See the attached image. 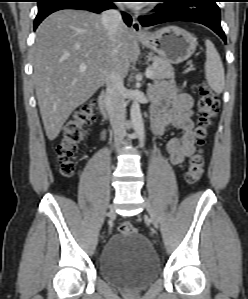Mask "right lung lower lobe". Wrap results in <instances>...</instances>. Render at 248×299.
I'll list each match as a JSON object with an SVG mask.
<instances>
[{
    "label": "right lung lower lobe",
    "mask_w": 248,
    "mask_h": 299,
    "mask_svg": "<svg viewBox=\"0 0 248 299\" xmlns=\"http://www.w3.org/2000/svg\"><path fill=\"white\" fill-rule=\"evenodd\" d=\"M115 0H38V14L34 21V29L51 13L62 9L88 10L100 13L107 9L116 8L113 4ZM124 22L130 26L132 19L130 15L122 13Z\"/></svg>",
    "instance_id": "obj_1"
}]
</instances>
